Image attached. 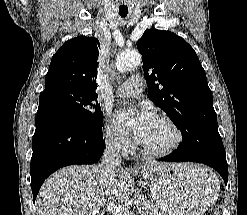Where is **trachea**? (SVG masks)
Wrapping results in <instances>:
<instances>
[{"label":"trachea","instance_id":"3493384b","mask_svg":"<svg viewBox=\"0 0 247 215\" xmlns=\"http://www.w3.org/2000/svg\"><path fill=\"white\" fill-rule=\"evenodd\" d=\"M120 16H121V17H125V16H127V14H120Z\"/></svg>","mask_w":247,"mask_h":215}]
</instances>
